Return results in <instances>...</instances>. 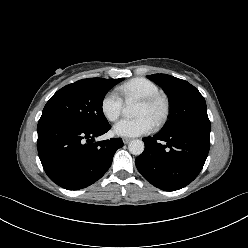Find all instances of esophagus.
<instances>
[{
	"mask_svg": "<svg viewBox=\"0 0 248 248\" xmlns=\"http://www.w3.org/2000/svg\"><path fill=\"white\" fill-rule=\"evenodd\" d=\"M131 141L130 138H123V143L128 144Z\"/></svg>",
	"mask_w": 248,
	"mask_h": 248,
	"instance_id": "esophagus-1",
	"label": "esophagus"
}]
</instances>
